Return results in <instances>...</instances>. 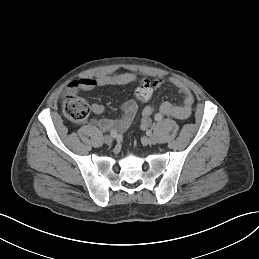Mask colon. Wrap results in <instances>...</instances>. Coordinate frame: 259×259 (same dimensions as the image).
<instances>
[{
  "label": "colon",
  "mask_w": 259,
  "mask_h": 259,
  "mask_svg": "<svg viewBox=\"0 0 259 259\" xmlns=\"http://www.w3.org/2000/svg\"><path fill=\"white\" fill-rule=\"evenodd\" d=\"M79 82H72L69 86L76 88ZM154 86L149 80H144L135 91L137 101H146L151 98ZM63 111L65 116L73 122H82L86 120L90 113L88 104L74 92H67L64 97Z\"/></svg>",
  "instance_id": "colon-1"
}]
</instances>
